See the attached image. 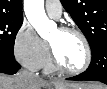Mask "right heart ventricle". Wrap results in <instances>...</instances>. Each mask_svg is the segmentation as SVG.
I'll return each mask as SVG.
<instances>
[{
    "mask_svg": "<svg viewBox=\"0 0 107 89\" xmlns=\"http://www.w3.org/2000/svg\"><path fill=\"white\" fill-rule=\"evenodd\" d=\"M42 67L45 73H53L56 70L49 54Z\"/></svg>",
    "mask_w": 107,
    "mask_h": 89,
    "instance_id": "e07e8e85",
    "label": "right heart ventricle"
}]
</instances>
